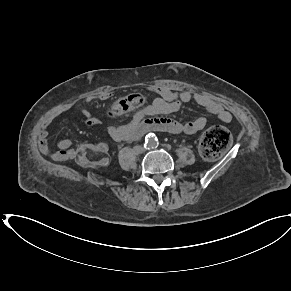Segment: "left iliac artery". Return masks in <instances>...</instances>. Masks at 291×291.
I'll return each instance as SVG.
<instances>
[{
    "label": "left iliac artery",
    "instance_id": "obj_1",
    "mask_svg": "<svg viewBox=\"0 0 291 291\" xmlns=\"http://www.w3.org/2000/svg\"><path fill=\"white\" fill-rule=\"evenodd\" d=\"M157 146H158L157 138H154V140L152 141V147H157Z\"/></svg>",
    "mask_w": 291,
    "mask_h": 291
}]
</instances>
